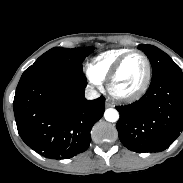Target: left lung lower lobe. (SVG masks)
Instances as JSON below:
<instances>
[{"instance_id": "0a47b994", "label": "left lung lower lobe", "mask_w": 183, "mask_h": 183, "mask_svg": "<svg viewBox=\"0 0 183 183\" xmlns=\"http://www.w3.org/2000/svg\"><path fill=\"white\" fill-rule=\"evenodd\" d=\"M116 108L120 113L116 128L126 148L140 153L167 149L183 131L181 69L152 78L141 99Z\"/></svg>"}]
</instances>
